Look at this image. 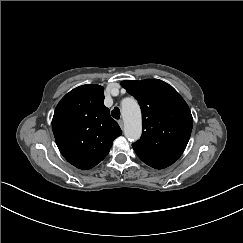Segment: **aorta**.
I'll return each instance as SVG.
<instances>
[{
  "label": "aorta",
  "mask_w": 243,
  "mask_h": 243,
  "mask_svg": "<svg viewBox=\"0 0 243 243\" xmlns=\"http://www.w3.org/2000/svg\"><path fill=\"white\" fill-rule=\"evenodd\" d=\"M121 115L125 136L130 141L138 139L142 132V117L137 101L133 98L124 99L121 104Z\"/></svg>",
  "instance_id": "obj_1"
}]
</instances>
